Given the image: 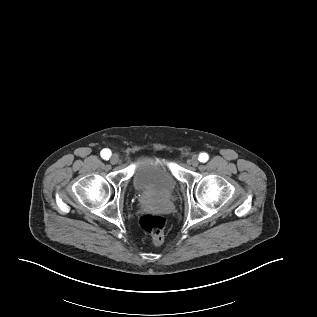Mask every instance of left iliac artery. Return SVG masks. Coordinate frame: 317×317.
<instances>
[{
  "mask_svg": "<svg viewBox=\"0 0 317 317\" xmlns=\"http://www.w3.org/2000/svg\"><path fill=\"white\" fill-rule=\"evenodd\" d=\"M198 159H199L200 162L205 163V162L208 161L209 156H208L207 153H201V154L199 155V158H198Z\"/></svg>",
  "mask_w": 317,
  "mask_h": 317,
  "instance_id": "1",
  "label": "left iliac artery"
}]
</instances>
